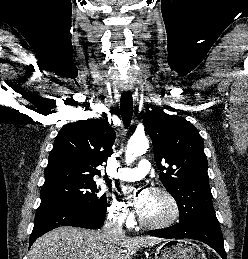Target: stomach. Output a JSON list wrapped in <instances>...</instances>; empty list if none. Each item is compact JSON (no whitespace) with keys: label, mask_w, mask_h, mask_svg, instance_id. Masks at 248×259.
<instances>
[{"label":"stomach","mask_w":248,"mask_h":259,"mask_svg":"<svg viewBox=\"0 0 248 259\" xmlns=\"http://www.w3.org/2000/svg\"><path fill=\"white\" fill-rule=\"evenodd\" d=\"M155 259H207L199 246L186 240H169L155 252Z\"/></svg>","instance_id":"0dacf381"}]
</instances>
